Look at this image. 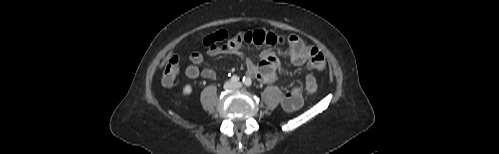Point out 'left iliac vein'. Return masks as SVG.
Segmentation results:
<instances>
[{
  "instance_id": "4c4485c4",
  "label": "left iliac vein",
  "mask_w": 499,
  "mask_h": 154,
  "mask_svg": "<svg viewBox=\"0 0 499 154\" xmlns=\"http://www.w3.org/2000/svg\"><path fill=\"white\" fill-rule=\"evenodd\" d=\"M235 86H236L237 88H241V87H242V84H241L240 82H238V83H236V84H235Z\"/></svg>"
}]
</instances>
